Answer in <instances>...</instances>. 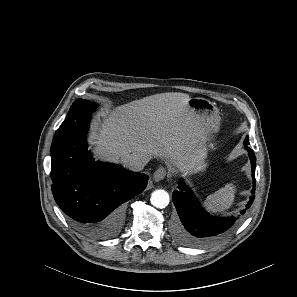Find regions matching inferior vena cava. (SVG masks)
<instances>
[{
    "mask_svg": "<svg viewBox=\"0 0 297 297\" xmlns=\"http://www.w3.org/2000/svg\"><path fill=\"white\" fill-rule=\"evenodd\" d=\"M149 161L148 157L142 153H134L131 155H128L124 160H123V165L127 169L131 171H141L144 166L147 164Z\"/></svg>",
    "mask_w": 297,
    "mask_h": 297,
    "instance_id": "602c4592",
    "label": "inferior vena cava"
}]
</instances>
